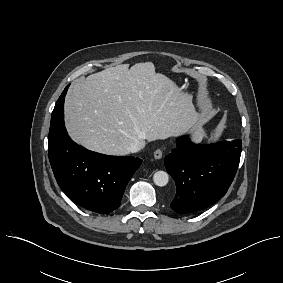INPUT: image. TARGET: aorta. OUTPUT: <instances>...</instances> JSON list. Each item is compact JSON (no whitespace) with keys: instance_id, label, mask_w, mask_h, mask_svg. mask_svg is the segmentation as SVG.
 <instances>
[{"instance_id":"1","label":"aorta","mask_w":283,"mask_h":283,"mask_svg":"<svg viewBox=\"0 0 283 283\" xmlns=\"http://www.w3.org/2000/svg\"><path fill=\"white\" fill-rule=\"evenodd\" d=\"M153 181L157 186L163 187L168 184L169 176L165 171H157L153 175Z\"/></svg>"}]
</instances>
